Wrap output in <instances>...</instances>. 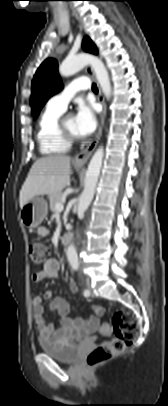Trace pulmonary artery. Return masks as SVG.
Segmentation results:
<instances>
[{
	"instance_id": "1",
	"label": "pulmonary artery",
	"mask_w": 168,
	"mask_h": 406,
	"mask_svg": "<svg viewBox=\"0 0 168 406\" xmlns=\"http://www.w3.org/2000/svg\"><path fill=\"white\" fill-rule=\"evenodd\" d=\"M90 88V82L87 77H80L69 83L60 93L51 97L48 106L65 111L69 101L80 90Z\"/></svg>"
}]
</instances>
